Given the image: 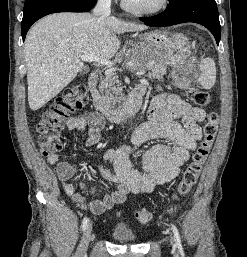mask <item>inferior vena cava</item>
<instances>
[{
	"instance_id": "obj_1",
	"label": "inferior vena cava",
	"mask_w": 247,
	"mask_h": 257,
	"mask_svg": "<svg viewBox=\"0 0 247 257\" xmlns=\"http://www.w3.org/2000/svg\"><path fill=\"white\" fill-rule=\"evenodd\" d=\"M111 0H98L93 10L94 16H109L111 13Z\"/></svg>"
}]
</instances>
